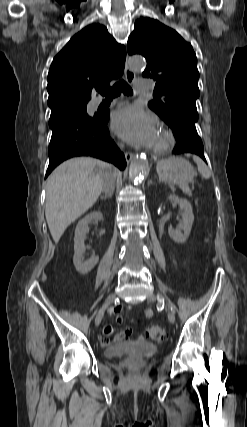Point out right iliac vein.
Here are the masks:
<instances>
[{
	"label": "right iliac vein",
	"mask_w": 247,
	"mask_h": 427,
	"mask_svg": "<svg viewBox=\"0 0 247 427\" xmlns=\"http://www.w3.org/2000/svg\"><path fill=\"white\" fill-rule=\"evenodd\" d=\"M116 299V295L114 293L110 294L102 308L98 311L96 318H95V325L98 326L101 323V320L103 318L105 310L114 302Z\"/></svg>",
	"instance_id": "right-iliac-vein-1"
}]
</instances>
